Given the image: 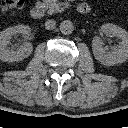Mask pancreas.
Returning a JSON list of instances; mask_svg holds the SVG:
<instances>
[{"label":"pancreas","mask_w":128,"mask_h":128,"mask_svg":"<svg viewBox=\"0 0 128 128\" xmlns=\"http://www.w3.org/2000/svg\"><path fill=\"white\" fill-rule=\"evenodd\" d=\"M43 4L48 10L49 14L62 12L65 8L69 6V3L59 2L58 0H43Z\"/></svg>","instance_id":"obj_1"}]
</instances>
